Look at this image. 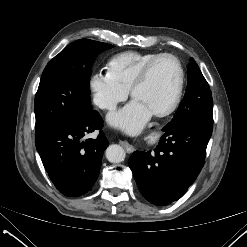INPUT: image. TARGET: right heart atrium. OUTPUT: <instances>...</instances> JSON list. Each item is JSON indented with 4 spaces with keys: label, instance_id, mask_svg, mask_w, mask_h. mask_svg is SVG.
Wrapping results in <instances>:
<instances>
[{
    "label": "right heart atrium",
    "instance_id": "obj_1",
    "mask_svg": "<svg viewBox=\"0 0 247 247\" xmlns=\"http://www.w3.org/2000/svg\"><path fill=\"white\" fill-rule=\"evenodd\" d=\"M89 90L93 103L105 111L115 110L128 96V90L108 70L97 71L90 76Z\"/></svg>",
    "mask_w": 247,
    "mask_h": 247
}]
</instances>
